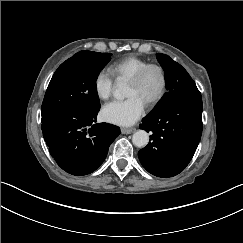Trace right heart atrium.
Returning a JSON list of instances; mask_svg holds the SVG:
<instances>
[{"label":"right heart atrium","instance_id":"obj_1","mask_svg":"<svg viewBox=\"0 0 243 243\" xmlns=\"http://www.w3.org/2000/svg\"><path fill=\"white\" fill-rule=\"evenodd\" d=\"M114 88V75L110 68L101 67L93 78V89L99 100H105L112 95Z\"/></svg>","mask_w":243,"mask_h":243}]
</instances>
